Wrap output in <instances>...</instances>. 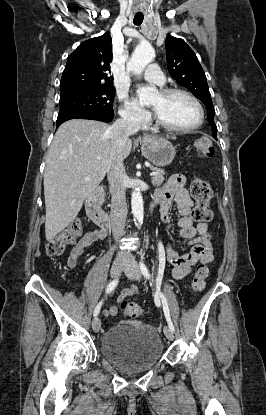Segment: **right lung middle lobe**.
I'll use <instances>...</instances> for the list:
<instances>
[{
  "mask_svg": "<svg viewBox=\"0 0 266 415\" xmlns=\"http://www.w3.org/2000/svg\"><path fill=\"white\" fill-rule=\"evenodd\" d=\"M114 97L113 86L84 87L64 91L60 96V111L81 110L112 114Z\"/></svg>",
  "mask_w": 266,
  "mask_h": 415,
  "instance_id": "obj_1",
  "label": "right lung middle lobe"
}]
</instances>
